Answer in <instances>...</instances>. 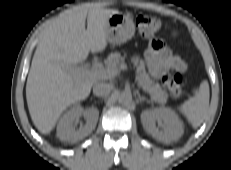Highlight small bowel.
Segmentation results:
<instances>
[{
    "label": "small bowel",
    "mask_w": 231,
    "mask_h": 170,
    "mask_svg": "<svg viewBox=\"0 0 231 170\" xmlns=\"http://www.w3.org/2000/svg\"><path fill=\"white\" fill-rule=\"evenodd\" d=\"M144 62L150 75L155 79L163 78L169 71L174 70L183 73L187 70V64L160 39H153L144 54Z\"/></svg>",
    "instance_id": "small-bowel-1"
}]
</instances>
